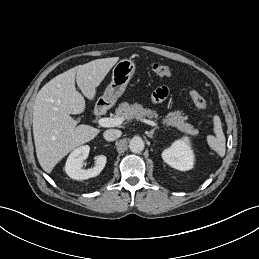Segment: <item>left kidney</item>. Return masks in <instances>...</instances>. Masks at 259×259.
Masks as SVG:
<instances>
[{"label": "left kidney", "instance_id": "left-kidney-1", "mask_svg": "<svg viewBox=\"0 0 259 259\" xmlns=\"http://www.w3.org/2000/svg\"><path fill=\"white\" fill-rule=\"evenodd\" d=\"M162 159L172 168L187 171L193 168L194 154L188 137L175 141L171 147L162 152Z\"/></svg>", "mask_w": 259, "mask_h": 259}]
</instances>
